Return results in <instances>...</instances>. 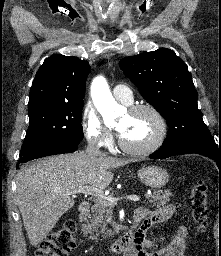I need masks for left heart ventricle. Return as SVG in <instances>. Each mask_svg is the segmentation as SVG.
Wrapping results in <instances>:
<instances>
[{
    "label": "left heart ventricle",
    "mask_w": 221,
    "mask_h": 256,
    "mask_svg": "<svg viewBox=\"0 0 221 256\" xmlns=\"http://www.w3.org/2000/svg\"><path fill=\"white\" fill-rule=\"evenodd\" d=\"M117 129L124 142L133 147H142L153 141L158 126L154 117L146 111L127 112L119 121Z\"/></svg>",
    "instance_id": "obj_1"
}]
</instances>
